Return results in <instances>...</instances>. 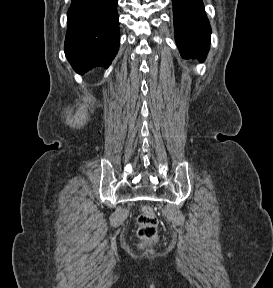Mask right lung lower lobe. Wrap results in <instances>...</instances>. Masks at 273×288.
<instances>
[{"mask_svg":"<svg viewBox=\"0 0 273 288\" xmlns=\"http://www.w3.org/2000/svg\"><path fill=\"white\" fill-rule=\"evenodd\" d=\"M67 18L64 49L73 69L108 68L120 42L117 0H72Z\"/></svg>","mask_w":273,"mask_h":288,"instance_id":"98d812e1","label":"right lung lower lobe"}]
</instances>
